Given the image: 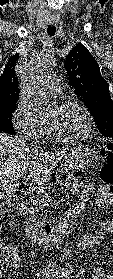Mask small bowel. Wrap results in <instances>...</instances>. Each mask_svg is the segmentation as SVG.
<instances>
[{
    "instance_id": "small-bowel-1",
    "label": "small bowel",
    "mask_w": 113,
    "mask_h": 279,
    "mask_svg": "<svg viewBox=\"0 0 113 279\" xmlns=\"http://www.w3.org/2000/svg\"><path fill=\"white\" fill-rule=\"evenodd\" d=\"M93 187L91 184H87L82 191L81 204L84 205L91 194ZM113 203V195L106 193V195H100L95 204L100 207L108 206ZM113 233V219L102 224L100 230L95 234L87 237V246L92 252H97L103 243V237L107 234ZM20 265V256L16 257L12 262V267H18ZM77 278L83 279H113V274L108 273L103 267H93L88 272L87 276L83 273H79Z\"/></svg>"
}]
</instances>
